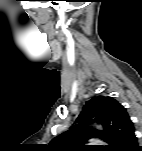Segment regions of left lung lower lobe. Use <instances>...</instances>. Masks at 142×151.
Listing matches in <instances>:
<instances>
[{"label":"left lung lower lobe","mask_w":142,"mask_h":151,"mask_svg":"<svg viewBox=\"0 0 142 151\" xmlns=\"http://www.w3.org/2000/svg\"><path fill=\"white\" fill-rule=\"evenodd\" d=\"M113 151H142V147L137 146V138L134 128L129 130L117 143Z\"/></svg>","instance_id":"left-lung-lower-lobe-1"}]
</instances>
